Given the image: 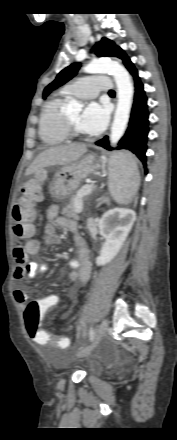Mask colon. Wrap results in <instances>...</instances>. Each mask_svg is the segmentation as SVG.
Wrapping results in <instances>:
<instances>
[{"instance_id":"obj_1","label":"colon","mask_w":177,"mask_h":440,"mask_svg":"<svg viewBox=\"0 0 177 440\" xmlns=\"http://www.w3.org/2000/svg\"><path fill=\"white\" fill-rule=\"evenodd\" d=\"M45 175L40 174L35 179L23 183L19 189V196L12 207L13 234L19 239L30 238L33 234L35 220V203L42 199L41 188ZM15 249L17 255L26 258L34 250L32 244L18 242ZM63 303L62 298H31L23 312V320L29 334L30 342H37L38 348L51 346L52 352H60L71 344L68 334H50L49 330H41L40 324L48 311H54Z\"/></svg>"}]
</instances>
